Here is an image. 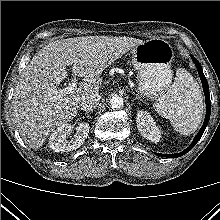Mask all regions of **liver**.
<instances>
[{"instance_id":"liver-1","label":"liver","mask_w":220,"mask_h":220,"mask_svg":"<svg viewBox=\"0 0 220 220\" xmlns=\"http://www.w3.org/2000/svg\"><path fill=\"white\" fill-rule=\"evenodd\" d=\"M142 40L130 37L89 36L52 41L40 49L21 73L13 101V117L24 142L39 149L56 127L71 121L83 97L98 93L103 70ZM83 77L79 87L61 100L57 87L66 67Z\"/></svg>"}]
</instances>
